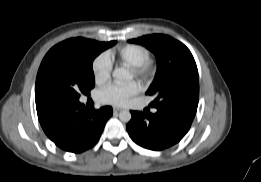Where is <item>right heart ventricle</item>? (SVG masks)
<instances>
[{"instance_id":"1","label":"right heart ventricle","mask_w":261,"mask_h":182,"mask_svg":"<svg viewBox=\"0 0 261 182\" xmlns=\"http://www.w3.org/2000/svg\"><path fill=\"white\" fill-rule=\"evenodd\" d=\"M150 57V51L139 44H125L115 52V58L127 67H134L146 61Z\"/></svg>"}]
</instances>
